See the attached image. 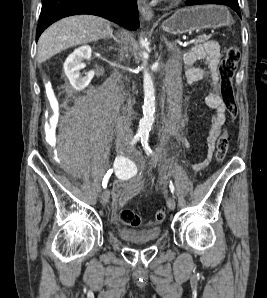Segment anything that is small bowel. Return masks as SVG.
<instances>
[{"label":"small bowel","instance_id":"small-bowel-1","mask_svg":"<svg viewBox=\"0 0 267 298\" xmlns=\"http://www.w3.org/2000/svg\"><path fill=\"white\" fill-rule=\"evenodd\" d=\"M199 60L206 61L207 69L195 66V63ZM220 61V48L214 41H208L195 46L192 50L186 52L183 57L187 83L194 84L208 75L212 85V90L205 99L206 105L214 110L207 138V153L205 159L195 165L196 169H204L209 164L214 152L215 141L220 134L222 125L226 121V112L228 110L218 92V67ZM170 112L172 116L178 115L179 107L176 100H174ZM141 189V185L137 180H132L127 185L116 188L114 196L117 199L118 205L123 207L129 199L139 194Z\"/></svg>","mask_w":267,"mask_h":298}]
</instances>
